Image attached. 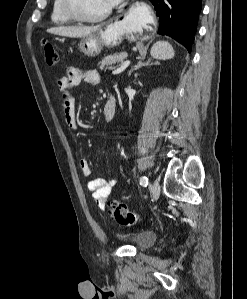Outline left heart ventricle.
<instances>
[{
  "mask_svg": "<svg viewBox=\"0 0 247 299\" xmlns=\"http://www.w3.org/2000/svg\"><path fill=\"white\" fill-rule=\"evenodd\" d=\"M77 10L86 16H96L110 7L108 0H74Z\"/></svg>",
  "mask_w": 247,
  "mask_h": 299,
  "instance_id": "obj_1",
  "label": "left heart ventricle"
}]
</instances>
